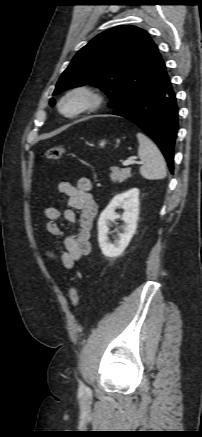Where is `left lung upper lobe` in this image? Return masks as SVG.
<instances>
[{
    "instance_id": "left-lung-upper-lobe-1",
    "label": "left lung upper lobe",
    "mask_w": 202,
    "mask_h": 437,
    "mask_svg": "<svg viewBox=\"0 0 202 437\" xmlns=\"http://www.w3.org/2000/svg\"><path fill=\"white\" fill-rule=\"evenodd\" d=\"M156 44L146 31L117 26L94 37L62 73L53 95L90 84L110 97L115 109L164 69ZM51 99L50 104L54 105Z\"/></svg>"
}]
</instances>
